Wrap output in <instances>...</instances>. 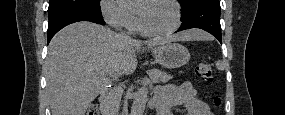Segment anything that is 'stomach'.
I'll return each instance as SVG.
<instances>
[{
  "mask_svg": "<svg viewBox=\"0 0 285 115\" xmlns=\"http://www.w3.org/2000/svg\"><path fill=\"white\" fill-rule=\"evenodd\" d=\"M155 60L164 68H179L190 60L188 49L175 42H169L153 49Z\"/></svg>",
  "mask_w": 285,
  "mask_h": 115,
  "instance_id": "1",
  "label": "stomach"
}]
</instances>
